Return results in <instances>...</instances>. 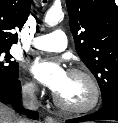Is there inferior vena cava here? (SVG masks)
I'll return each instance as SVG.
<instances>
[{
  "label": "inferior vena cava",
  "instance_id": "1",
  "mask_svg": "<svg viewBox=\"0 0 118 123\" xmlns=\"http://www.w3.org/2000/svg\"><path fill=\"white\" fill-rule=\"evenodd\" d=\"M35 91L36 86L34 84H29L22 87L23 105L28 109L37 110L39 107ZM19 123H29V122L24 119H21Z\"/></svg>",
  "mask_w": 118,
  "mask_h": 123
}]
</instances>
